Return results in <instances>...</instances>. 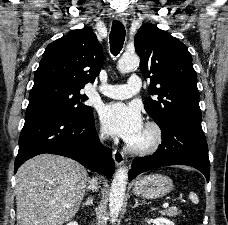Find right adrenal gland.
<instances>
[{"mask_svg":"<svg viewBox=\"0 0 228 225\" xmlns=\"http://www.w3.org/2000/svg\"><path fill=\"white\" fill-rule=\"evenodd\" d=\"M93 205V199L92 197H88L86 203H83L82 207H91Z\"/></svg>","mask_w":228,"mask_h":225,"instance_id":"obj_1","label":"right adrenal gland"}]
</instances>
